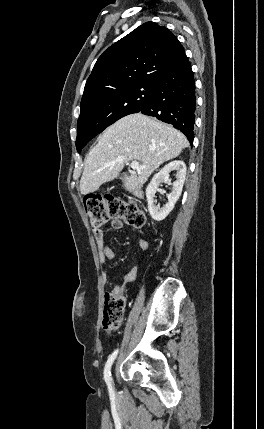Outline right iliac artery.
<instances>
[{"instance_id": "82829eb1", "label": "right iliac artery", "mask_w": 264, "mask_h": 429, "mask_svg": "<svg viewBox=\"0 0 264 429\" xmlns=\"http://www.w3.org/2000/svg\"><path fill=\"white\" fill-rule=\"evenodd\" d=\"M117 354H118V349H116L110 355V357L108 358V360L106 362L105 368H104V379H105V381H106V383H107L108 388H109L110 391H112V385H111V383H112V377H111V371L110 370H111V366H112V364H113V362H114Z\"/></svg>"}]
</instances>
